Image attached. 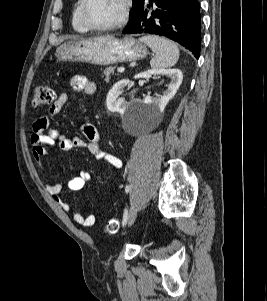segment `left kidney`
I'll return each instance as SVG.
<instances>
[{
  "label": "left kidney",
  "mask_w": 267,
  "mask_h": 301,
  "mask_svg": "<svg viewBox=\"0 0 267 301\" xmlns=\"http://www.w3.org/2000/svg\"><path fill=\"white\" fill-rule=\"evenodd\" d=\"M152 76H166L170 78L168 89L163 92V95L152 98L146 96L143 103L146 105H152L155 109H164L168 102L175 96L178 88L180 87L183 74L179 69H151L143 73H139L134 76L135 79L144 78L149 79ZM129 85L128 80H120L115 83L112 89L109 91L106 98L107 109L111 112L124 113L129 103L123 98H119L121 91Z\"/></svg>",
  "instance_id": "1"
}]
</instances>
